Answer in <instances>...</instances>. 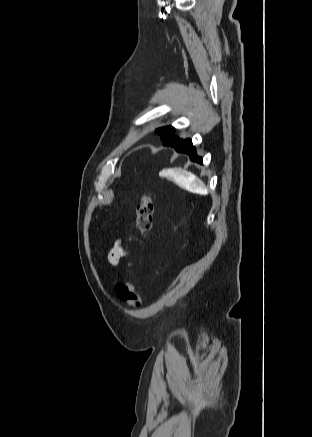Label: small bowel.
<instances>
[{"mask_svg": "<svg viewBox=\"0 0 312 437\" xmlns=\"http://www.w3.org/2000/svg\"><path fill=\"white\" fill-rule=\"evenodd\" d=\"M128 255L129 252L121 246L119 241H117L109 250L108 262L113 266H117L119 262Z\"/></svg>", "mask_w": 312, "mask_h": 437, "instance_id": "small-bowel-1", "label": "small bowel"}]
</instances>
